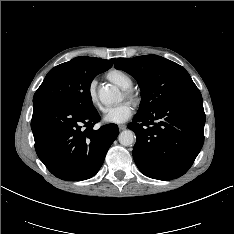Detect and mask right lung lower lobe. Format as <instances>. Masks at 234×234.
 <instances>
[{
	"label": "right lung lower lobe",
	"instance_id": "1",
	"mask_svg": "<svg viewBox=\"0 0 234 234\" xmlns=\"http://www.w3.org/2000/svg\"><path fill=\"white\" fill-rule=\"evenodd\" d=\"M99 120L94 107L79 109L51 100L33 103L31 129L35 150L54 176L81 181L98 172L119 133L113 123L93 129Z\"/></svg>",
	"mask_w": 234,
	"mask_h": 234
}]
</instances>
